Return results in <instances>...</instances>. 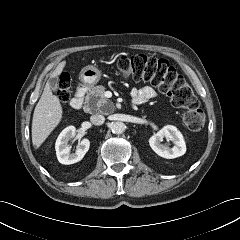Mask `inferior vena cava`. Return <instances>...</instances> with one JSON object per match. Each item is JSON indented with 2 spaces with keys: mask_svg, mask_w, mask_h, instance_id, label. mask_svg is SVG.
I'll return each instance as SVG.
<instances>
[{
  "mask_svg": "<svg viewBox=\"0 0 240 240\" xmlns=\"http://www.w3.org/2000/svg\"><path fill=\"white\" fill-rule=\"evenodd\" d=\"M90 121L94 125H102L105 121V117L103 115H100V114H95V115H92L90 117Z\"/></svg>",
  "mask_w": 240,
  "mask_h": 240,
  "instance_id": "obj_1",
  "label": "inferior vena cava"
}]
</instances>
